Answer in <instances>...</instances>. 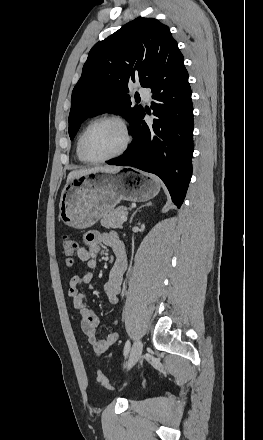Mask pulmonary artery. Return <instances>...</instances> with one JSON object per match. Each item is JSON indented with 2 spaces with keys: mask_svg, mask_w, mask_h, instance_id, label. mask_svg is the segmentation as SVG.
Returning <instances> with one entry per match:
<instances>
[{
  "mask_svg": "<svg viewBox=\"0 0 263 440\" xmlns=\"http://www.w3.org/2000/svg\"><path fill=\"white\" fill-rule=\"evenodd\" d=\"M139 93L140 96L145 100V101H149L150 100V92L147 88H140L139 89Z\"/></svg>",
  "mask_w": 263,
  "mask_h": 440,
  "instance_id": "pulmonary-artery-1",
  "label": "pulmonary artery"
}]
</instances>
